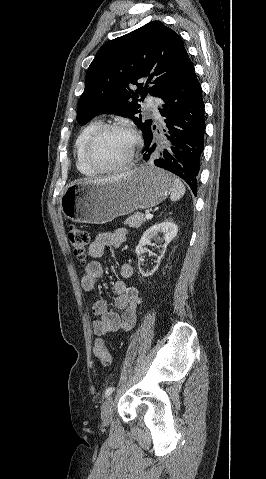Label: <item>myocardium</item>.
Instances as JSON below:
<instances>
[{
	"mask_svg": "<svg viewBox=\"0 0 266 479\" xmlns=\"http://www.w3.org/2000/svg\"><path fill=\"white\" fill-rule=\"evenodd\" d=\"M111 130H120V131H125V132L129 133L133 138V144H132V147L130 149V152H129L127 158L122 163H120L119 165L113 166V167L103 168V167L98 166L94 162L93 157H92V152H93V148H94V145L97 142V140L104 133H106L107 131H111ZM140 143H141V139H140L139 135L130 126L125 125V124H121V123L102 124L88 138V140L86 142V145H85V149H84V159H85V162H86L87 166L93 172H95L96 174H109V173L118 172V171H121V170H125L132 165L133 160L135 158L136 151L139 148Z\"/></svg>",
	"mask_w": 266,
	"mask_h": 479,
	"instance_id": "1",
	"label": "myocardium"
}]
</instances>
